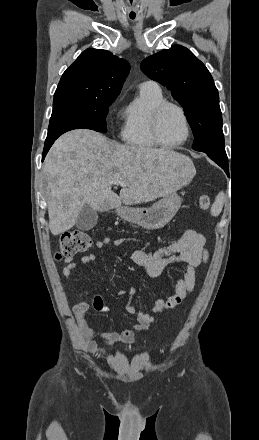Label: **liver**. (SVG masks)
Returning <instances> with one entry per match:
<instances>
[{
  "label": "liver",
  "instance_id": "1",
  "mask_svg": "<svg viewBox=\"0 0 259 440\" xmlns=\"http://www.w3.org/2000/svg\"><path fill=\"white\" fill-rule=\"evenodd\" d=\"M49 228L70 230L85 205L107 211L167 196L194 177L190 158L174 151L120 145L87 129L60 136L44 161ZM127 186L117 195L116 181Z\"/></svg>",
  "mask_w": 259,
  "mask_h": 440
}]
</instances>
